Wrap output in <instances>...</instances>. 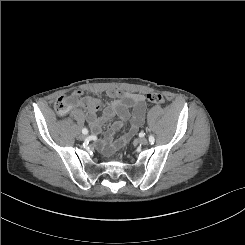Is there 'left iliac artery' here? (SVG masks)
<instances>
[{"label":"left iliac artery","mask_w":245,"mask_h":245,"mask_svg":"<svg viewBox=\"0 0 245 245\" xmlns=\"http://www.w3.org/2000/svg\"><path fill=\"white\" fill-rule=\"evenodd\" d=\"M155 141L154 137L152 135H149V142L153 144Z\"/></svg>","instance_id":"left-iliac-artery-1"}]
</instances>
